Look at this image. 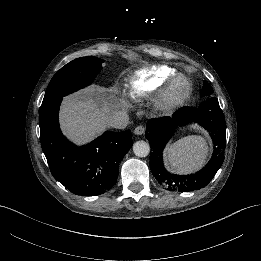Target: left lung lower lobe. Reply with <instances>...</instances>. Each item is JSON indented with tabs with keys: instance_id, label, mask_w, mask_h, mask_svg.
<instances>
[{
	"instance_id": "0a47b994",
	"label": "left lung lower lobe",
	"mask_w": 261,
	"mask_h": 261,
	"mask_svg": "<svg viewBox=\"0 0 261 261\" xmlns=\"http://www.w3.org/2000/svg\"><path fill=\"white\" fill-rule=\"evenodd\" d=\"M197 122L210 132L214 143L211 159L200 171L190 175H177L163 165L162 151L178 127ZM146 138L153 151L150 153V168L157 182L170 191L189 192L207 186L224 161L226 147V123L218 100L209 97L199 107H183L172 117L150 119L146 125Z\"/></svg>"
}]
</instances>
